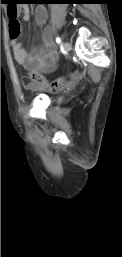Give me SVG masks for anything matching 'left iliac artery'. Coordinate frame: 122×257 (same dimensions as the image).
<instances>
[{"mask_svg":"<svg viewBox=\"0 0 122 257\" xmlns=\"http://www.w3.org/2000/svg\"><path fill=\"white\" fill-rule=\"evenodd\" d=\"M56 42L59 44V43H61V38L60 37H57L56 38Z\"/></svg>","mask_w":122,"mask_h":257,"instance_id":"44dca946","label":"left iliac artery"}]
</instances>
